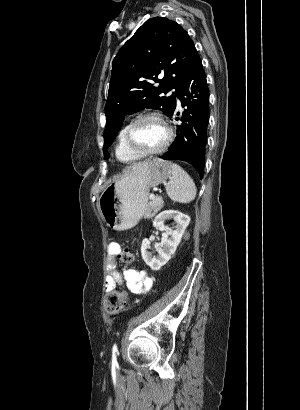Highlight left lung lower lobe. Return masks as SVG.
I'll list each match as a JSON object with an SVG mask.
<instances>
[{
  "mask_svg": "<svg viewBox=\"0 0 300 410\" xmlns=\"http://www.w3.org/2000/svg\"><path fill=\"white\" fill-rule=\"evenodd\" d=\"M176 97L185 110L179 118L180 113L175 111V103L171 118L176 121L181 119L182 125L177 126L178 136L160 158L186 161L193 165L202 178L209 123V89L199 55L195 57L190 70L179 85Z\"/></svg>",
  "mask_w": 300,
  "mask_h": 410,
  "instance_id": "obj_1",
  "label": "left lung lower lobe"
}]
</instances>
